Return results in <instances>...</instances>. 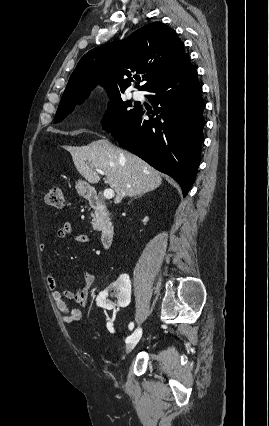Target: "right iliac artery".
Segmentation results:
<instances>
[{"label": "right iliac artery", "instance_id": "1", "mask_svg": "<svg viewBox=\"0 0 269 426\" xmlns=\"http://www.w3.org/2000/svg\"><path fill=\"white\" fill-rule=\"evenodd\" d=\"M128 327H129V330H132L134 328V323L131 322Z\"/></svg>", "mask_w": 269, "mask_h": 426}]
</instances>
